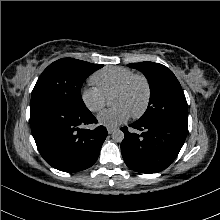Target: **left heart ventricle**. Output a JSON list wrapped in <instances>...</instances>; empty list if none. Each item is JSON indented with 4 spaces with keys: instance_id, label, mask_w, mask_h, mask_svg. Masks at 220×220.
Masks as SVG:
<instances>
[{
    "instance_id": "obj_1",
    "label": "left heart ventricle",
    "mask_w": 220,
    "mask_h": 220,
    "mask_svg": "<svg viewBox=\"0 0 220 220\" xmlns=\"http://www.w3.org/2000/svg\"><path fill=\"white\" fill-rule=\"evenodd\" d=\"M145 100V87L141 81H135L133 85L124 93L113 95L111 102L114 106L122 105L131 114L138 111Z\"/></svg>"
}]
</instances>
